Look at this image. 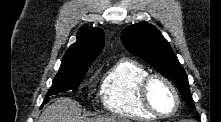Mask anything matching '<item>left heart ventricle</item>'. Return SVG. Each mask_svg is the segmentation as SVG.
<instances>
[{"label": "left heart ventricle", "instance_id": "b2bd125f", "mask_svg": "<svg viewBox=\"0 0 221 122\" xmlns=\"http://www.w3.org/2000/svg\"><path fill=\"white\" fill-rule=\"evenodd\" d=\"M149 96L152 105L161 113L167 114L173 111L175 107V99L163 82L155 80L149 89Z\"/></svg>", "mask_w": 221, "mask_h": 122}]
</instances>
